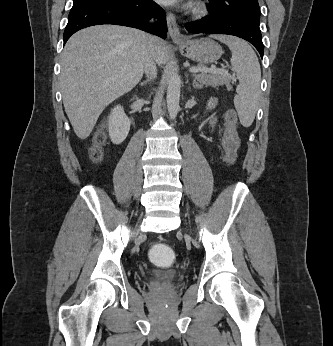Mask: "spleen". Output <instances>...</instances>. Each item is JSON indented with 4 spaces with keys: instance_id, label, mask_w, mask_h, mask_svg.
<instances>
[{
    "instance_id": "1",
    "label": "spleen",
    "mask_w": 333,
    "mask_h": 346,
    "mask_svg": "<svg viewBox=\"0 0 333 346\" xmlns=\"http://www.w3.org/2000/svg\"><path fill=\"white\" fill-rule=\"evenodd\" d=\"M226 44L232 52L231 66L239 80V89L234 97V105L240 122L249 127L255 118L260 97L261 69L258 58L245 41L232 36H213Z\"/></svg>"
}]
</instances>
